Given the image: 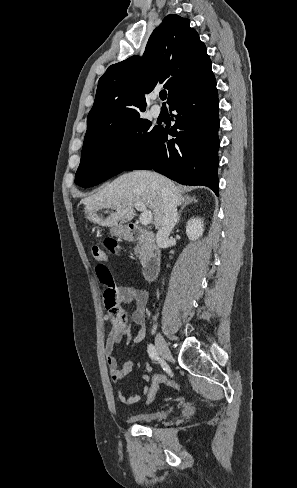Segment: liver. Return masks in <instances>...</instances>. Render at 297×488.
Here are the masks:
<instances>
[{
  "mask_svg": "<svg viewBox=\"0 0 297 488\" xmlns=\"http://www.w3.org/2000/svg\"><path fill=\"white\" fill-rule=\"evenodd\" d=\"M163 188H168L174 195L176 204H181L184 197L180 189L168 178L150 171L125 173L96 194L82 199L80 203L84 205L86 218L91 222L117 227L134 218L133 206L141 202L152 211L154 224L159 227L164 215ZM104 208L114 209L115 212L103 219L97 212Z\"/></svg>",
  "mask_w": 297,
  "mask_h": 488,
  "instance_id": "1",
  "label": "liver"
}]
</instances>
